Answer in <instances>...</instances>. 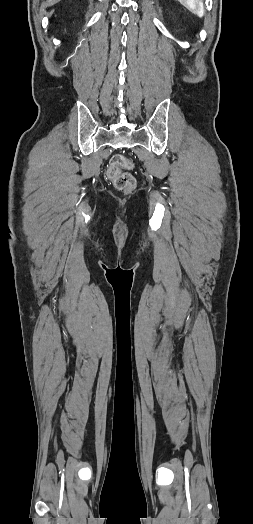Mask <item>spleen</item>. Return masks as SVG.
I'll use <instances>...</instances> for the list:
<instances>
[{
    "label": "spleen",
    "instance_id": "spleen-1",
    "mask_svg": "<svg viewBox=\"0 0 253 524\" xmlns=\"http://www.w3.org/2000/svg\"><path fill=\"white\" fill-rule=\"evenodd\" d=\"M184 7H186L193 14L198 17H203L204 8L200 0H178Z\"/></svg>",
    "mask_w": 253,
    "mask_h": 524
}]
</instances>
